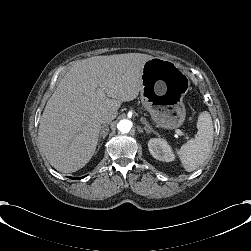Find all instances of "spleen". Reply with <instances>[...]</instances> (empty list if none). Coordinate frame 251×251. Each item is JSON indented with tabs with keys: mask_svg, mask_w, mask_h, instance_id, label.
Listing matches in <instances>:
<instances>
[{
	"mask_svg": "<svg viewBox=\"0 0 251 251\" xmlns=\"http://www.w3.org/2000/svg\"><path fill=\"white\" fill-rule=\"evenodd\" d=\"M197 133L181 147L180 157L187 171L196 170L209 156L213 144V122L208 112L197 120Z\"/></svg>",
	"mask_w": 251,
	"mask_h": 251,
	"instance_id": "1",
	"label": "spleen"
}]
</instances>
